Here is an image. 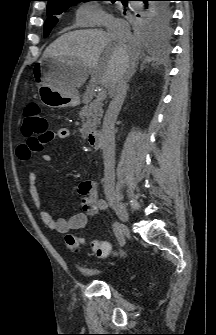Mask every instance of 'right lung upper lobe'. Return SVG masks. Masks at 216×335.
Instances as JSON below:
<instances>
[{
  "label": "right lung upper lobe",
  "instance_id": "right-lung-upper-lobe-1",
  "mask_svg": "<svg viewBox=\"0 0 216 335\" xmlns=\"http://www.w3.org/2000/svg\"><path fill=\"white\" fill-rule=\"evenodd\" d=\"M48 1V5L56 2H62V1H70V0H46Z\"/></svg>",
  "mask_w": 216,
  "mask_h": 335
}]
</instances>
